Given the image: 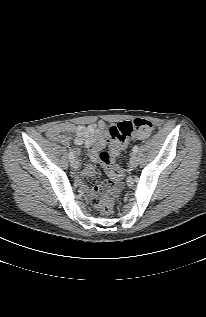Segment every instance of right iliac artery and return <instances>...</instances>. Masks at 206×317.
<instances>
[{
	"label": "right iliac artery",
	"instance_id": "1",
	"mask_svg": "<svg viewBox=\"0 0 206 317\" xmlns=\"http://www.w3.org/2000/svg\"><path fill=\"white\" fill-rule=\"evenodd\" d=\"M69 159H70V161L74 160V154H73V152L71 150L69 152Z\"/></svg>",
	"mask_w": 206,
	"mask_h": 317
}]
</instances>
